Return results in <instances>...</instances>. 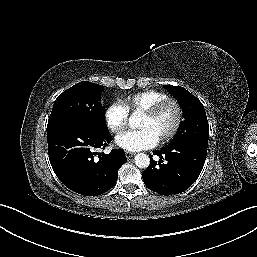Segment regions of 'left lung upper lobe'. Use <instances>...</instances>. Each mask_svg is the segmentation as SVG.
Returning <instances> with one entry per match:
<instances>
[{
	"label": "left lung upper lobe",
	"instance_id": "5c2ea615",
	"mask_svg": "<svg viewBox=\"0 0 257 257\" xmlns=\"http://www.w3.org/2000/svg\"><path fill=\"white\" fill-rule=\"evenodd\" d=\"M178 100L184 120L168 145H177L186 142L208 144L209 125L204 106L188 90L180 86H164Z\"/></svg>",
	"mask_w": 257,
	"mask_h": 257
}]
</instances>
